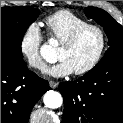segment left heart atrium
<instances>
[{
	"instance_id": "obj_1",
	"label": "left heart atrium",
	"mask_w": 123,
	"mask_h": 123,
	"mask_svg": "<svg viewBox=\"0 0 123 123\" xmlns=\"http://www.w3.org/2000/svg\"><path fill=\"white\" fill-rule=\"evenodd\" d=\"M74 70L65 60H59L56 64L48 68L47 73L53 77H63L70 75Z\"/></svg>"
}]
</instances>
